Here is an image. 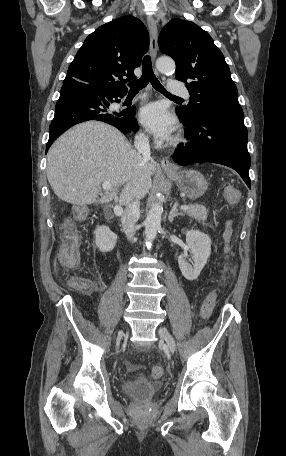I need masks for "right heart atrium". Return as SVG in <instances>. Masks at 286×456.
Listing matches in <instances>:
<instances>
[{"instance_id": "right-heart-atrium-1", "label": "right heart atrium", "mask_w": 286, "mask_h": 456, "mask_svg": "<svg viewBox=\"0 0 286 456\" xmlns=\"http://www.w3.org/2000/svg\"><path fill=\"white\" fill-rule=\"evenodd\" d=\"M140 137H141L142 139H145V135H144V134H141Z\"/></svg>"}]
</instances>
